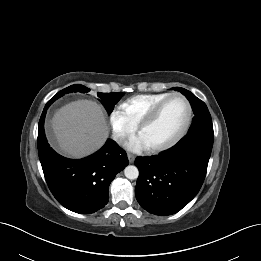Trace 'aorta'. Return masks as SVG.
I'll return each instance as SVG.
<instances>
[{"mask_svg": "<svg viewBox=\"0 0 261 261\" xmlns=\"http://www.w3.org/2000/svg\"><path fill=\"white\" fill-rule=\"evenodd\" d=\"M124 174H125L126 178H128L130 180H135L139 176V171L136 166L129 165L124 169Z\"/></svg>", "mask_w": 261, "mask_h": 261, "instance_id": "obj_1", "label": "aorta"}]
</instances>
